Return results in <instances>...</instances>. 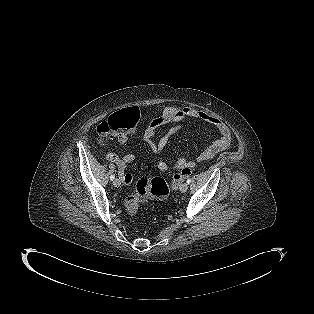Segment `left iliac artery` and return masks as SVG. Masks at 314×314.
<instances>
[{
	"mask_svg": "<svg viewBox=\"0 0 314 314\" xmlns=\"http://www.w3.org/2000/svg\"><path fill=\"white\" fill-rule=\"evenodd\" d=\"M191 181H192L191 178H188L187 181H186V183H187V184H190Z\"/></svg>",
	"mask_w": 314,
	"mask_h": 314,
	"instance_id": "1",
	"label": "left iliac artery"
}]
</instances>
